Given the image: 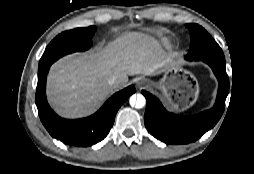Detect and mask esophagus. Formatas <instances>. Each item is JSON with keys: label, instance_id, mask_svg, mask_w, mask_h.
Instances as JSON below:
<instances>
[{"label": "esophagus", "instance_id": "obj_1", "mask_svg": "<svg viewBox=\"0 0 254 174\" xmlns=\"http://www.w3.org/2000/svg\"><path fill=\"white\" fill-rule=\"evenodd\" d=\"M148 85H149V82H148V80H146V79L139 80V81L136 83V86H137V88H139V89L146 88V87H148Z\"/></svg>", "mask_w": 254, "mask_h": 174}]
</instances>
